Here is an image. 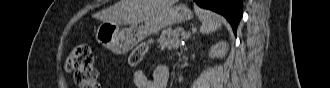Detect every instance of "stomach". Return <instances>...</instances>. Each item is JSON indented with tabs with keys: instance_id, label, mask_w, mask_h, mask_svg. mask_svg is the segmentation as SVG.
<instances>
[{
	"instance_id": "obj_1",
	"label": "stomach",
	"mask_w": 330,
	"mask_h": 88,
	"mask_svg": "<svg viewBox=\"0 0 330 88\" xmlns=\"http://www.w3.org/2000/svg\"><path fill=\"white\" fill-rule=\"evenodd\" d=\"M192 15V11L186 5L179 4L171 5L155 15L131 24L129 28L122 30L119 29L117 24L104 21L97 28L96 40L112 52L124 54L147 36L185 22L191 19Z\"/></svg>"
}]
</instances>
